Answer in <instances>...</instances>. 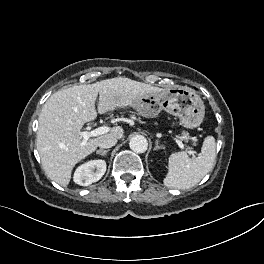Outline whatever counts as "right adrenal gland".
<instances>
[{"label": "right adrenal gland", "mask_w": 264, "mask_h": 264, "mask_svg": "<svg viewBox=\"0 0 264 264\" xmlns=\"http://www.w3.org/2000/svg\"><path fill=\"white\" fill-rule=\"evenodd\" d=\"M108 152H109V149H107V150L99 149L96 151V154H99L101 156H106Z\"/></svg>", "instance_id": "right-adrenal-gland-1"}]
</instances>
